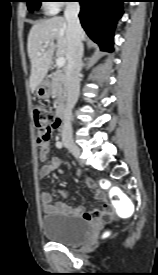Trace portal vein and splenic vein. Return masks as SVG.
<instances>
[{
    "mask_svg": "<svg viewBox=\"0 0 158 275\" xmlns=\"http://www.w3.org/2000/svg\"><path fill=\"white\" fill-rule=\"evenodd\" d=\"M47 47H48L47 44H46V45H43V46L41 47V51H44ZM65 62H66V60H65L64 57H58V58L56 59V66H57V68L63 67V66L65 65Z\"/></svg>",
    "mask_w": 158,
    "mask_h": 275,
    "instance_id": "1",
    "label": "portal vein and splenic vein"
}]
</instances>
